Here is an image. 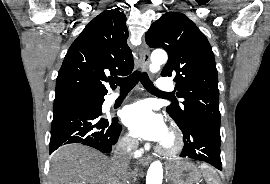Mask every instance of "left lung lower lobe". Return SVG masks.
I'll return each mask as SVG.
<instances>
[{
    "label": "left lung lower lobe",
    "mask_w": 270,
    "mask_h": 184,
    "mask_svg": "<svg viewBox=\"0 0 270 184\" xmlns=\"http://www.w3.org/2000/svg\"><path fill=\"white\" fill-rule=\"evenodd\" d=\"M180 129L183 133L184 140V147L180 154L181 157L203 161L222 170L220 158V126L195 121L185 128Z\"/></svg>",
    "instance_id": "1"
}]
</instances>
